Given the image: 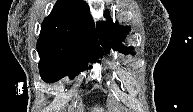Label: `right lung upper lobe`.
<instances>
[{"label":"right lung upper lobe","instance_id":"cb5924a9","mask_svg":"<svg viewBox=\"0 0 193 112\" xmlns=\"http://www.w3.org/2000/svg\"><path fill=\"white\" fill-rule=\"evenodd\" d=\"M96 33L98 35V30L95 32L85 1L58 0L50 15L43 20L39 38L69 39L102 50Z\"/></svg>","mask_w":193,"mask_h":112}]
</instances>
